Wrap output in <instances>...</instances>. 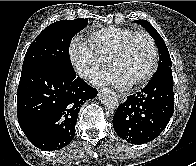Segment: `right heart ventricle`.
Here are the masks:
<instances>
[{
    "label": "right heart ventricle",
    "mask_w": 196,
    "mask_h": 166,
    "mask_svg": "<svg viewBox=\"0 0 196 166\" xmlns=\"http://www.w3.org/2000/svg\"><path fill=\"white\" fill-rule=\"evenodd\" d=\"M133 31L129 28L108 26L93 32L88 40L100 54L110 60L124 38Z\"/></svg>",
    "instance_id": "right-heart-ventricle-1"
}]
</instances>
